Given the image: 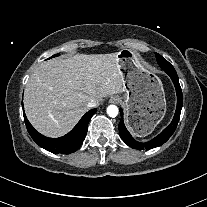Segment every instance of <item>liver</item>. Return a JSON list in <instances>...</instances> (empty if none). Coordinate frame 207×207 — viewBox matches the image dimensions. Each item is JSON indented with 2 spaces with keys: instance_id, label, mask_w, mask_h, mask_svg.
Returning a JSON list of instances; mask_svg holds the SVG:
<instances>
[{
  "instance_id": "1",
  "label": "liver",
  "mask_w": 207,
  "mask_h": 207,
  "mask_svg": "<svg viewBox=\"0 0 207 207\" xmlns=\"http://www.w3.org/2000/svg\"><path fill=\"white\" fill-rule=\"evenodd\" d=\"M118 53L76 54L41 63L24 92V109L41 134L57 138L69 132L88 110L87 103L122 93Z\"/></svg>"
}]
</instances>
